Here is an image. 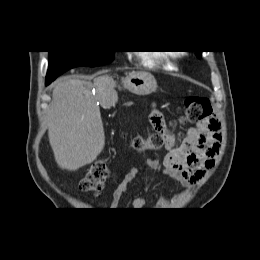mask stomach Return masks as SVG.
I'll return each instance as SVG.
<instances>
[{
  "label": "stomach",
  "mask_w": 260,
  "mask_h": 260,
  "mask_svg": "<svg viewBox=\"0 0 260 260\" xmlns=\"http://www.w3.org/2000/svg\"><path fill=\"white\" fill-rule=\"evenodd\" d=\"M123 86L133 94L145 96L156 91L157 82L154 76L149 73H131L123 81Z\"/></svg>",
  "instance_id": "1"
}]
</instances>
